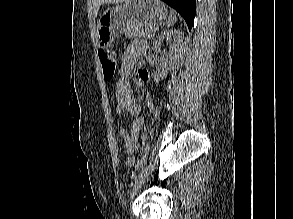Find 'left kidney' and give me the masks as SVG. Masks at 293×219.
<instances>
[{
  "instance_id": "obj_1",
  "label": "left kidney",
  "mask_w": 293,
  "mask_h": 219,
  "mask_svg": "<svg viewBox=\"0 0 293 219\" xmlns=\"http://www.w3.org/2000/svg\"><path fill=\"white\" fill-rule=\"evenodd\" d=\"M183 33L178 30H167L161 32L153 42V48L156 52L161 53V44L164 39H171L169 51L167 53H161L162 56L159 60V66L156 71L152 74L155 82H159L161 79L166 77L170 68L174 65V61L177 58L179 49L182 43Z\"/></svg>"
}]
</instances>
